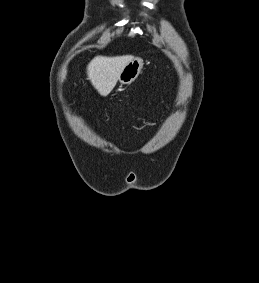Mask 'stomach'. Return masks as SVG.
I'll use <instances>...</instances> for the list:
<instances>
[{
  "mask_svg": "<svg viewBox=\"0 0 259 283\" xmlns=\"http://www.w3.org/2000/svg\"><path fill=\"white\" fill-rule=\"evenodd\" d=\"M143 64V60L140 58H134L131 60L122 70L118 81L122 85L131 84L140 74Z\"/></svg>",
  "mask_w": 259,
  "mask_h": 283,
  "instance_id": "1",
  "label": "stomach"
}]
</instances>
